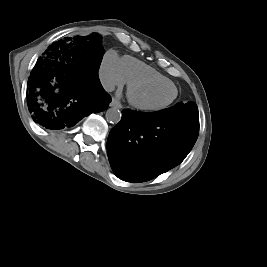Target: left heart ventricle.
Segmentation results:
<instances>
[{"label":"left heart ventricle","instance_id":"b2bd125f","mask_svg":"<svg viewBox=\"0 0 267 267\" xmlns=\"http://www.w3.org/2000/svg\"><path fill=\"white\" fill-rule=\"evenodd\" d=\"M175 90L168 84L147 85L134 90V97L146 105H162L170 101Z\"/></svg>","mask_w":267,"mask_h":267}]
</instances>
